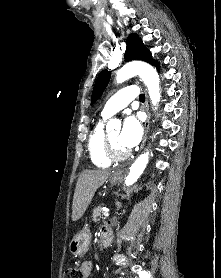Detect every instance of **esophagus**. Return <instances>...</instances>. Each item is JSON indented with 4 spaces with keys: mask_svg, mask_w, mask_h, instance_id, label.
I'll return each mask as SVG.
<instances>
[{
    "mask_svg": "<svg viewBox=\"0 0 221 278\" xmlns=\"http://www.w3.org/2000/svg\"><path fill=\"white\" fill-rule=\"evenodd\" d=\"M146 114H147V118L144 124V135H143V140H142V144L140 149H143L145 142L147 140V135H148V129H149V124H150V112H149V104H148V96H146V101H145V105H144ZM124 170H118L115 174L118 176H122L123 175Z\"/></svg>",
    "mask_w": 221,
    "mask_h": 278,
    "instance_id": "1",
    "label": "esophagus"
}]
</instances>
